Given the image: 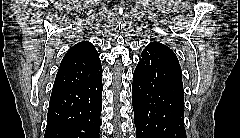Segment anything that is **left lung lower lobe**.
Wrapping results in <instances>:
<instances>
[{
	"label": "left lung lower lobe",
	"mask_w": 240,
	"mask_h": 138,
	"mask_svg": "<svg viewBox=\"0 0 240 138\" xmlns=\"http://www.w3.org/2000/svg\"><path fill=\"white\" fill-rule=\"evenodd\" d=\"M132 104L137 138H186L182 72L171 49L142 52L133 74Z\"/></svg>",
	"instance_id": "obj_1"
}]
</instances>
